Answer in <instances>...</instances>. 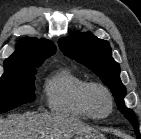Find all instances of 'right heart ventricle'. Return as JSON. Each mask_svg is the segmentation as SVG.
Masks as SVG:
<instances>
[{"mask_svg":"<svg viewBox=\"0 0 141 139\" xmlns=\"http://www.w3.org/2000/svg\"><path fill=\"white\" fill-rule=\"evenodd\" d=\"M86 84L83 77L69 68L54 71L43 85L47 107L57 113L91 119L82 101V90Z\"/></svg>","mask_w":141,"mask_h":139,"instance_id":"1","label":"right heart ventricle"}]
</instances>
